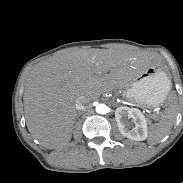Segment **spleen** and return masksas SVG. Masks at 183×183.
I'll return each mask as SVG.
<instances>
[{"instance_id": "3e777b00", "label": "spleen", "mask_w": 183, "mask_h": 183, "mask_svg": "<svg viewBox=\"0 0 183 183\" xmlns=\"http://www.w3.org/2000/svg\"><path fill=\"white\" fill-rule=\"evenodd\" d=\"M146 88V82L140 80L133 87L134 90H144ZM177 115L176 97L169 98V106L166 108L161 120L150 126L148 144L154 145L159 143L164 137H166L171 131Z\"/></svg>"}]
</instances>
